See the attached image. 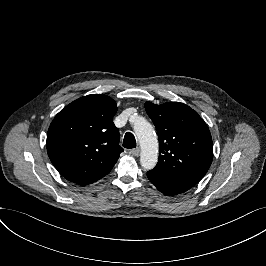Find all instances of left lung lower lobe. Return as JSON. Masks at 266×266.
I'll use <instances>...</instances> for the list:
<instances>
[{
  "mask_svg": "<svg viewBox=\"0 0 266 266\" xmlns=\"http://www.w3.org/2000/svg\"><path fill=\"white\" fill-rule=\"evenodd\" d=\"M147 177L160 192L167 196H174L186 192L191 188L184 183L175 181L152 170L147 172Z\"/></svg>",
  "mask_w": 266,
  "mask_h": 266,
  "instance_id": "0a47b994",
  "label": "left lung lower lobe"
}]
</instances>
